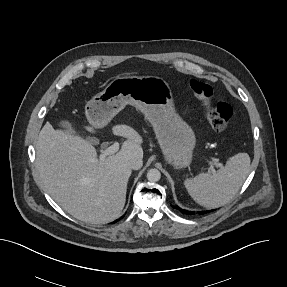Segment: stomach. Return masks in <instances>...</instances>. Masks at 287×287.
<instances>
[{
	"instance_id": "1",
	"label": "stomach",
	"mask_w": 287,
	"mask_h": 287,
	"mask_svg": "<svg viewBox=\"0 0 287 287\" xmlns=\"http://www.w3.org/2000/svg\"><path fill=\"white\" fill-rule=\"evenodd\" d=\"M127 104L153 127L165 160L176 169L190 165L196 143L192 128L179 116L169 84L158 76H123L111 81L86 105L95 128L106 125Z\"/></svg>"
}]
</instances>
